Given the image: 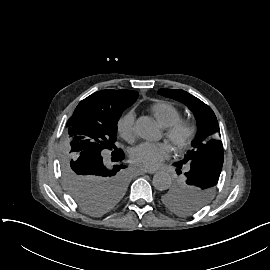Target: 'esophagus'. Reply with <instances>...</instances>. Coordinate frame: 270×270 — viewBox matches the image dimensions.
Segmentation results:
<instances>
[{"label":"esophagus","instance_id":"34e87169","mask_svg":"<svg viewBox=\"0 0 270 270\" xmlns=\"http://www.w3.org/2000/svg\"><path fill=\"white\" fill-rule=\"evenodd\" d=\"M156 172L155 168H143L140 169V173H149V174H153Z\"/></svg>","mask_w":270,"mask_h":270}]
</instances>
